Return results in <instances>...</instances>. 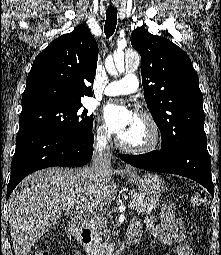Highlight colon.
Listing matches in <instances>:
<instances>
[{"label": "colon", "instance_id": "obj_1", "mask_svg": "<svg viewBox=\"0 0 221 255\" xmlns=\"http://www.w3.org/2000/svg\"><path fill=\"white\" fill-rule=\"evenodd\" d=\"M206 202L205 195L201 192H195L190 197V203L194 206H202ZM30 255H52L48 249H36Z\"/></svg>", "mask_w": 221, "mask_h": 255}]
</instances>
